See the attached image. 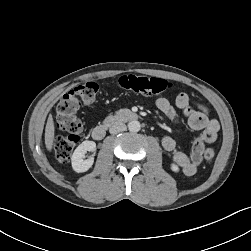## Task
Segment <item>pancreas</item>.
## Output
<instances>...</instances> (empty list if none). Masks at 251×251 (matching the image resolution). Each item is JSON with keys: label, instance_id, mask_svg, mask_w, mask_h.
<instances>
[{"label": "pancreas", "instance_id": "cf45deb5", "mask_svg": "<svg viewBox=\"0 0 251 251\" xmlns=\"http://www.w3.org/2000/svg\"><path fill=\"white\" fill-rule=\"evenodd\" d=\"M115 119H116V116L109 115L108 117L105 118V120H104L103 123H104L105 125H109V124H111L112 122H114Z\"/></svg>", "mask_w": 251, "mask_h": 251}]
</instances>
